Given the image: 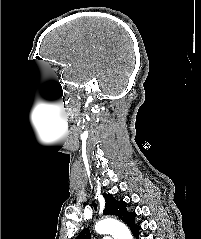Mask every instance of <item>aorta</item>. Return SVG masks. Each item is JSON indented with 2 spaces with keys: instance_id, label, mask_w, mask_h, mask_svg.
<instances>
[{
  "instance_id": "1",
  "label": "aorta",
  "mask_w": 201,
  "mask_h": 239,
  "mask_svg": "<svg viewBox=\"0 0 201 239\" xmlns=\"http://www.w3.org/2000/svg\"><path fill=\"white\" fill-rule=\"evenodd\" d=\"M95 231L99 234H111L114 239H133L127 226L112 218H106L96 223Z\"/></svg>"
}]
</instances>
